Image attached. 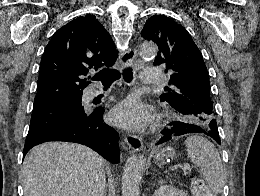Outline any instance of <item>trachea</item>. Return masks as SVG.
I'll list each match as a JSON object with an SVG mask.
<instances>
[{
  "mask_svg": "<svg viewBox=\"0 0 260 196\" xmlns=\"http://www.w3.org/2000/svg\"><path fill=\"white\" fill-rule=\"evenodd\" d=\"M121 75L127 83H130L133 79L132 68H127L122 73L114 68H105L94 75L92 80L101 81L103 86H111L114 81L119 80Z\"/></svg>",
  "mask_w": 260,
  "mask_h": 196,
  "instance_id": "3493384b",
  "label": "trachea"
}]
</instances>
